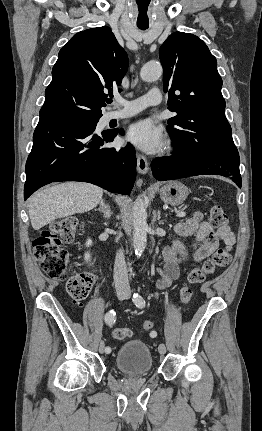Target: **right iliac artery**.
I'll return each mask as SVG.
<instances>
[{
    "label": "right iliac artery",
    "mask_w": 262,
    "mask_h": 431,
    "mask_svg": "<svg viewBox=\"0 0 262 431\" xmlns=\"http://www.w3.org/2000/svg\"><path fill=\"white\" fill-rule=\"evenodd\" d=\"M104 321L107 325H113L116 321V313L114 310L108 311L104 316ZM107 352H110L111 349L109 347L106 348Z\"/></svg>",
    "instance_id": "right-iliac-artery-1"
}]
</instances>
